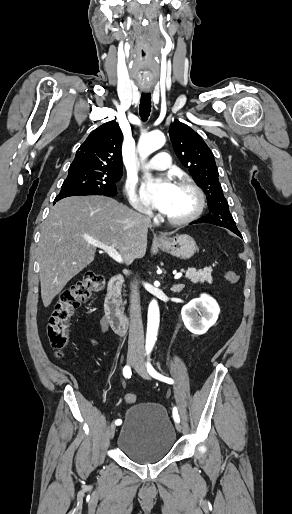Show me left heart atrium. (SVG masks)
Here are the masks:
<instances>
[{"instance_id": "obj_1", "label": "left heart atrium", "mask_w": 292, "mask_h": 514, "mask_svg": "<svg viewBox=\"0 0 292 514\" xmlns=\"http://www.w3.org/2000/svg\"><path fill=\"white\" fill-rule=\"evenodd\" d=\"M177 185L169 177L153 180L143 185L142 194L153 209L165 212L173 199Z\"/></svg>"}]
</instances>
